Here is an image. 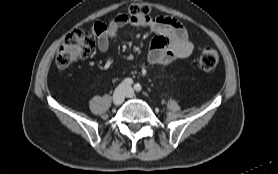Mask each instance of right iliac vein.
<instances>
[{
    "mask_svg": "<svg viewBox=\"0 0 278 174\" xmlns=\"http://www.w3.org/2000/svg\"><path fill=\"white\" fill-rule=\"evenodd\" d=\"M125 96V87L121 85L115 90L113 94V103L117 106L121 105L124 101Z\"/></svg>",
    "mask_w": 278,
    "mask_h": 174,
    "instance_id": "63e3f726",
    "label": "right iliac vein"
}]
</instances>
